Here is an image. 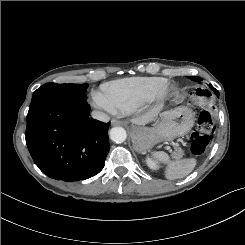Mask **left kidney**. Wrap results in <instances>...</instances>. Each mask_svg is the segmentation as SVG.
I'll return each mask as SVG.
<instances>
[{
  "label": "left kidney",
  "instance_id": "1",
  "mask_svg": "<svg viewBox=\"0 0 245 245\" xmlns=\"http://www.w3.org/2000/svg\"><path fill=\"white\" fill-rule=\"evenodd\" d=\"M146 163H147L148 167L152 170H157L159 168L158 164L154 160H152L151 158H147Z\"/></svg>",
  "mask_w": 245,
  "mask_h": 245
}]
</instances>
